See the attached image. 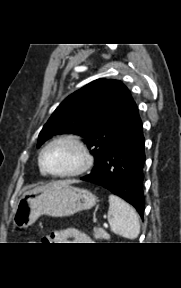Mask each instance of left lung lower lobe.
<instances>
[{
	"label": "left lung lower lobe",
	"instance_id": "1",
	"mask_svg": "<svg viewBox=\"0 0 181 288\" xmlns=\"http://www.w3.org/2000/svg\"><path fill=\"white\" fill-rule=\"evenodd\" d=\"M142 122L135 102L117 139L92 172L81 178L100 185L133 205L144 217L142 182L145 162Z\"/></svg>",
	"mask_w": 181,
	"mask_h": 288
}]
</instances>
